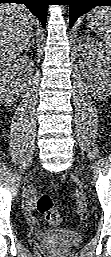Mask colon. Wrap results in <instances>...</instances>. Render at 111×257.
Instances as JSON below:
<instances>
[{"label": "colon", "instance_id": "1", "mask_svg": "<svg viewBox=\"0 0 111 257\" xmlns=\"http://www.w3.org/2000/svg\"><path fill=\"white\" fill-rule=\"evenodd\" d=\"M36 208L45 219L54 225H59L62 222L59 212L54 207V202L47 191H40L36 197Z\"/></svg>", "mask_w": 111, "mask_h": 257}]
</instances>
